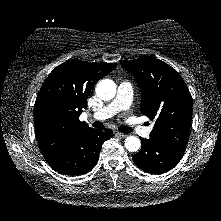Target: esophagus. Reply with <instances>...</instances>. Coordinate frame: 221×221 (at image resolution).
<instances>
[{
  "label": "esophagus",
  "mask_w": 221,
  "mask_h": 221,
  "mask_svg": "<svg viewBox=\"0 0 221 221\" xmlns=\"http://www.w3.org/2000/svg\"><path fill=\"white\" fill-rule=\"evenodd\" d=\"M114 134H115V136L122 137V138L127 136V134H124V133H121V132H118V131H114Z\"/></svg>",
  "instance_id": "34e87169"
}]
</instances>
